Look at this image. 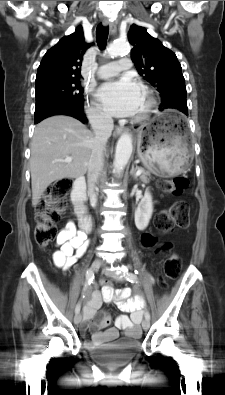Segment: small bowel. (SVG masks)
Here are the masks:
<instances>
[{"mask_svg":"<svg viewBox=\"0 0 225 395\" xmlns=\"http://www.w3.org/2000/svg\"><path fill=\"white\" fill-rule=\"evenodd\" d=\"M57 245L59 248L53 255L54 262L60 268L69 269L85 254L88 240L83 231L77 232L73 224H67L58 235ZM103 300L107 302L115 300L118 308L130 315L118 316L115 327L109 328L111 317L103 311L99 312ZM142 307L141 297H130L129 289L125 288L115 293L111 285H103L102 292L93 293L84 306L82 331L86 332L90 328L94 330L92 342L95 345L116 339L119 331L128 337L139 338Z\"/></svg>","mask_w":225,"mask_h":395,"instance_id":"1","label":"small bowel"}]
</instances>
